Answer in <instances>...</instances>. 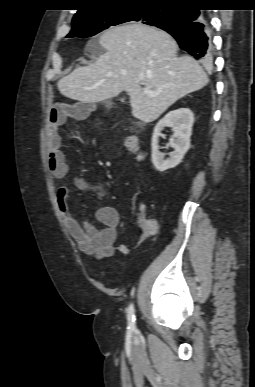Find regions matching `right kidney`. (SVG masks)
<instances>
[{
  "label": "right kidney",
  "mask_w": 255,
  "mask_h": 387,
  "mask_svg": "<svg viewBox=\"0 0 255 387\" xmlns=\"http://www.w3.org/2000/svg\"><path fill=\"white\" fill-rule=\"evenodd\" d=\"M194 115L188 108H180L170 111L155 126L152 136V162L155 168L164 172L167 169L176 167L183 159L190 147V137ZM165 127L173 129V137L170 138V146L174 149L168 159H164V153L159 151V136Z\"/></svg>",
  "instance_id": "ca27d5eb"
}]
</instances>
